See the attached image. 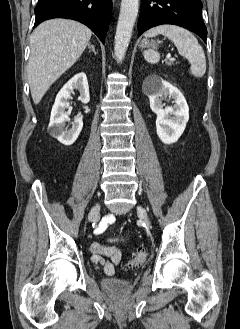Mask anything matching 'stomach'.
I'll return each mask as SVG.
<instances>
[{"label":"stomach","mask_w":240,"mask_h":329,"mask_svg":"<svg viewBox=\"0 0 240 329\" xmlns=\"http://www.w3.org/2000/svg\"><path fill=\"white\" fill-rule=\"evenodd\" d=\"M142 47H148V46H153L155 47V42L154 41H149L147 39H143L141 43Z\"/></svg>","instance_id":"0dacf381"}]
</instances>
